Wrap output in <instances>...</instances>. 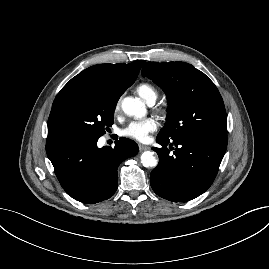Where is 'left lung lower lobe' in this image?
<instances>
[{
    "label": "left lung lower lobe",
    "instance_id": "obj_1",
    "mask_svg": "<svg viewBox=\"0 0 269 269\" xmlns=\"http://www.w3.org/2000/svg\"><path fill=\"white\" fill-rule=\"evenodd\" d=\"M153 148L159 164L150 175L153 191L173 202H186L204 193L213 183L227 148V137L194 134L166 141ZM175 146L170 154L167 145Z\"/></svg>",
    "mask_w": 269,
    "mask_h": 269
}]
</instances>
